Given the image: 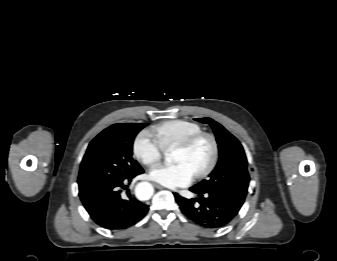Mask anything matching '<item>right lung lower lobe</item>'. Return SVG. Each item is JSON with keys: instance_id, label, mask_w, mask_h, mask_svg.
I'll return each mask as SVG.
<instances>
[{"instance_id": "obj_1", "label": "right lung lower lobe", "mask_w": 337, "mask_h": 261, "mask_svg": "<svg viewBox=\"0 0 337 261\" xmlns=\"http://www.w3.org/2000/svg\"><path fill=\"white\" fill-rule=\"evenodd\" d=\"M143 169L113 184L99 187L80 197L85 209L99 226L109 230L126 229L140 221L149 206L133 197L127 184ZM126 190L127 198L121 195Z\"/></svg>"}]
</instances>
